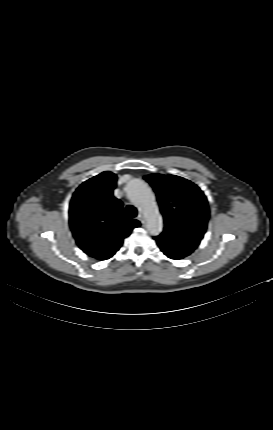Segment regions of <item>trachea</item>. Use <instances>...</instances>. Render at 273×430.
I'll return each instance as SVG.
<instances>
[{
    "mask_svg": "<svg viewBox=\"0 0 273 430\" xmlns=\"http://www.w3.org/2000/svg\"><path fill=\"white\" fill-rule=\"evenodd\" d=\"M136 216H137V209L135 207H133L132 205H128L125 208V217L127 219H130V218H134Z\"/></svg>",
    "mask_w": 273,
    "mask_h": 430,
    "instance_id": "trachea-1",
    "label": "trachea"
}]
</instances>
